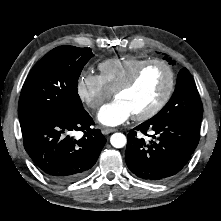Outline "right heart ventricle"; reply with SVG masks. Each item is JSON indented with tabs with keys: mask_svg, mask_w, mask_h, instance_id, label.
I'll list each match as a JSON object with an SVG mask.
<instances>
[{
	"mask_svg": "<svg viewBox=\"0 0 221 221\" xmlns=\"http://www.w3.org/2000/svg\"><path fill=\"white\" fill-rule=\"evenodd\" d=\"M145 61L147 59L133 56L105 60L98 65L100 77L106 87L114 92Z\"/></svg>",
	"mask_w": 221,
	"mask_h": 221,
	"instance_id": "obj_1",
	"label": "right heart ventricle"
}]
</instances>
